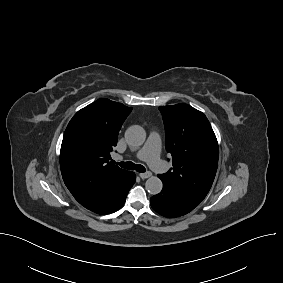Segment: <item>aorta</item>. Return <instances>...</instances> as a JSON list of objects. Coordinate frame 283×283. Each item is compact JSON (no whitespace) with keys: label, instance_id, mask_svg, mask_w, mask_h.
Wrapping results in <instances>:
<instances>
[{"label":"aorta","instance_id":"aorta-1","mask_svg":"<svg viewBox=\"0 0 283 283\" xmlns=\"http://www.w3.org/2000/svg\"><path fill=\"white\" fill-rule=\"evenodd\" d=\"M125 139L131 146H140L145 142L146 132L141 126L133 125L126 130ZM145 188L149 193L156 195L161 192L163 184L158 177L152 176L146 180Z\"/></svg>","mask_w":283,"mask_h":283}]
</instances>
